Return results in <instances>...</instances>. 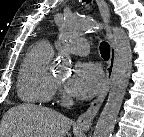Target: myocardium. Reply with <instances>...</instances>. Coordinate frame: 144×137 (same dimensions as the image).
Returning a JSON list of instances; mask_svg holds the SVG:
<instances>
[{
    "label": "myocardium",
    "instance_id": "1",
    "mask_svg": "<svg viewBox=\"0 0 144 137\" xmlns=\"http://www.w3.org/2000/svg\"><path fill=\"white\" fill-rule=\"evenodd\" d=\"M53 79H54V84H55L56 87L61 86V84H62L61 80H59L56 77H53Z\"/></svg>",
    "mask_w": 144,
    "mask_h": 137
}]
</instances>
